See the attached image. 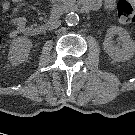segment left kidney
<instances>
[{"mask_svg": "<svg viewBox=\"0 0 135 135\" xmlns=\"http://www.w3.org/2000/svg\"><path fill=\"white\" fill-rule=\"evenodd\" d=\"M118 35L121 47L113 45V36ZM104 51L115 61L124 62L131 59L135 52V42L130 37L127 30L119 26H111L107 30L103 42Z\"/></svg>", "mask_w": 135, "mask_h": 135, "instance_id": "left-kidney-1", "label": "left kidney"}]
</instances>
